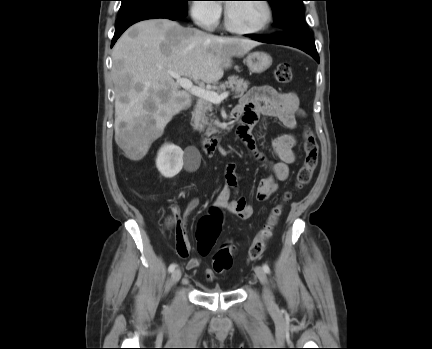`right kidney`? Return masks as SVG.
Here are the masks:
<instances>
[{"label": "right kidney", "instance_id": "ca27d5eb", "mask_svg": "<svg viewBox=\"0 0 432 349\" xmlns=\"http://www.w3.org/2000/svg\"><path fill=\"white\" fill-rule=\"evenodd\" d=\"M183 150L174 144H166L160 148L156 166L162 176L172 178L176 176L183 167Z\"/></svg>", "mask_w": 432, "mask_h": 349}]
</instances>
